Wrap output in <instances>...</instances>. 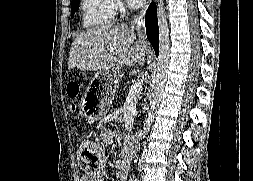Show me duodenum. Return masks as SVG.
I'll return each mask as SVG.
<instances>
[{
	"mask_svg": "<svg viewBox=\"0 0 253 181\" xmlns=\"http://www.w3.org/2000/svg\"><path fill=\"white\" fill-rule=\"evenodd\" d=\"M145 133V130L144 129H140L138 132H137V135L138 137H142Z\"/></svg>",
	"mask_w": 253,
	"mask_h": 181,
	"instance_id": "obj_1",
	"label": "duodenum"
}]
</instances>
